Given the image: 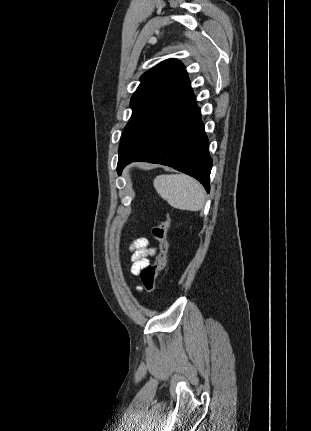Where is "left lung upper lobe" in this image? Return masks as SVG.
Returning a JSON list of instances; mask_svg holds the SVG:
<instances>
[{
  "label": "left lung upper lobe",
  "instance_id": "5c2ea615",
  "mask_svg": "<svg viewBox=\"0 0 311 431\" xmlns=\"http://www.w3.org/2000/svg\"><path fill=\"white\" fill-rule=\"evenodd\" d=\"M189 83L184 65L176 59L162 61L141 76L131 98L132 116L121 137L119 154L124 153L150 119Z\"/></svg>",
  "mask_w": 311,
  "mask_h": 431
}]
</instances>
